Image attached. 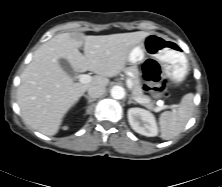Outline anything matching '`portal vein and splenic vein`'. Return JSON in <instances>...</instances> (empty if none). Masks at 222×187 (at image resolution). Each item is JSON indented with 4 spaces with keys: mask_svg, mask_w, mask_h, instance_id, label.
Instances as JSON below:
<instances>
[{
    "mask_svg": "<svg viewBox=\"0 0 222 187\" xmlns=\"http://www.w3.org/2000/svg\"><path fill=\"white\" fill-rule=\"evenodd\" d=\"M91 79H92V77H91L90 75H87V74H83V75H81V76L79 77V81H80V83H82V84L89 83V82L91 81ZM126 83H127L128 88H129L130 90H132L133 84H132L131 79H127V80H126ZM133 98H134V100L137 101L138 103H141V102L144 101L143 99H140V98H137V97H134V96H133ZM159 106H160L161 108H170V109H172V110H175V108H176L175 105H164V103H163L162 101L159 102Z\"/></svg>",
    "mask_w": 222,
    "mask_h": 187,
    "instance_id": "18ae733b",
    "label": "portal vein and splenic vein"
}]
</instances>
